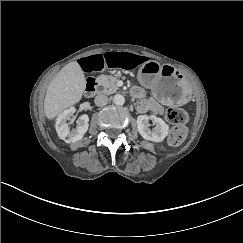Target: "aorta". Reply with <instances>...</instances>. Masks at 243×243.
<instances>
[{
    "instance_id": "1",
    "label": "aorta",
    "mask_w": 243,
    "mask_h": 243,
    "mask_svg": "<svg viewBox=\"0 0 243 243\" xmlns=\"http://www.w3.org/2000/svg\"><path fill=\"white\" fill-rule=\"evenodd\" d=\"M112 101L115 105H123L125 103V97L122 94H115Z\"/></svg>"
}]
</instances>
